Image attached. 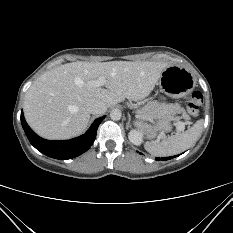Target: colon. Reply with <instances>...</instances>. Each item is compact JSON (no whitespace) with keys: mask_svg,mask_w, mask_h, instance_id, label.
<instances>
[{"mask_svg":"<svg viewBox=\"0 0 233 233\" xmlns=\"http://www.w3.org/2000/svg\"><path fill=\"white\" fill-rule=\"evenodd\" d=\"M203 103V95L200 91H194L192 92L187 98H186V105L191 115L197 116L198 115V109Z\"/></svg>","mask_w":233,"mask_h":233,"instance_id":"colon-1","label":"colon"}]
</instances>
